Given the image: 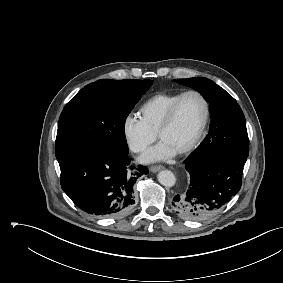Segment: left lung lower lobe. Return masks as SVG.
<instances>
[{
    "label": "left lung lower lobe",
    "mask_w": 283,
    "mask_h": 283,
    "mask_svg": "<svg viewBox=\"0 0 283 283\" xmlns=\"http://www.w3.org/2000/svg\"><path fill=\"white\" fill-rule=\"evenodd\" d=\"M246 159L226 153L186 159L190 184L186 193L173 198V211L183 219L195 221L215 215L239 192Z\"/></svg>",
    "instance_id": "1"
}]
</instances>
